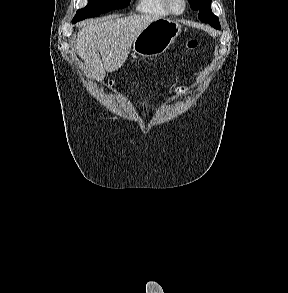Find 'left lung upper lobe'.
Wrapping results in <instances>:
<instances>
[{
	"instance_id": "left-lung-upper-lobe-1",
	"label": "left lung upper lobe",
	"mask_w": 288,
	"mask_h": 293,
	"mask_svg": "<svg viewBox=\"0 0 288 293\" xmlns=\"http://www.w3.org/2000/svg\"><path fill=\"white\" fill-rule=\"evenodd\" d=\"M193 10L199 11V19L202 22L209 23L216 29H221L219 19L212 13L211 1L212 0H188Z\"/></svg>"
}]
</instances>
